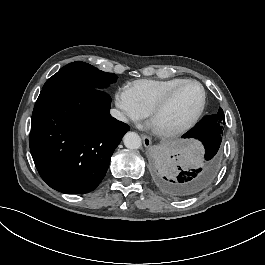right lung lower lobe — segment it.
<instances>
[{"label":"right lung lower lobe","mask_w":265,"mask_h":265,"mask_svg":"<svg viewBox=\"0 0 265 265\" xmlns=\"http://www.w3.org/2000/svg\"><path fill=\"white\" fill-rule=\"evenodd\" d=\"M102 90H42L34 107L30 151L42 179L66 194L94 190L130 127L109 114Z\"/></svg>","instance_id":"1"}]
</instances>
